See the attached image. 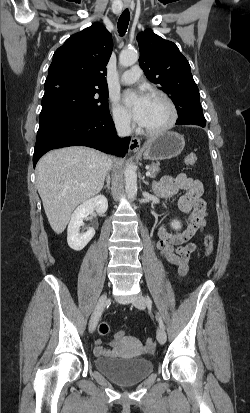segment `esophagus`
Here are the masks:
<instances>
[{"instance_id":"obj_1","label":"esophagus","mask_w":250,"mask_h":413,"mask_svg":"<svg viewBox=\"0 0 250 413\" xmlns=\"http://www.w3.org/2000/svg\"><path fill=\"white\" fill-rule=\"evenodd\" d=\"M128 7H129V4L124 5V8H128ZM140 148H141L140 139L137 137H132L130 144H129V150L131 152H139Z\"/></svg>"}]
</instances>
